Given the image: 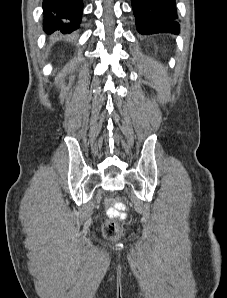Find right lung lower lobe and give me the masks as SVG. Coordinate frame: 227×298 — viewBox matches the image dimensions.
Segmentation results:
<instances>
[{"label": "right lung lower lobe", "mask_w": 227, "mask_h": 298, "mask_svg": "<svg viewBox=\"0 0 227 298\" xmlns=\"http://www.w3.org/2000/svg\"><path fill=\"white\" fill-rule=\"evenodd\" d=\"M83 11L82 0H43L44 30L71 33L79 27Z\"/></svg>", "instance_id": "98d812e1"}]
</instances>
